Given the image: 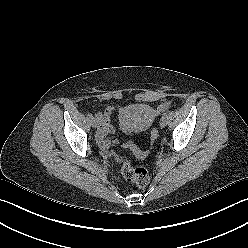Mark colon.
<instances>
[{"mask_svg": "<svg viewBox=\"0 0 248 248\" xmlns=\"http://www.w3.org/2000/svg\"><path fill=\"white\" fill-rule=\"evenodd\" d=\"M158 137V131L157 129L151 130V140L154 142ZM123 147L131 150L137 157L144 158L146 157L149 152L141 151L134 143L131 141H127L123 143ZM115 158L122 163L121 167V177L131 183L132 185H135L136 187L142 188L146 186L149 182V174L145 168L142 167H134L130 161L126 158L119 157L115 155Z\"/></svg>", "mask_w": 248, "mask_h": 248, "instance_id": "5ec220e1", "label": "colon"}]
</instances>
